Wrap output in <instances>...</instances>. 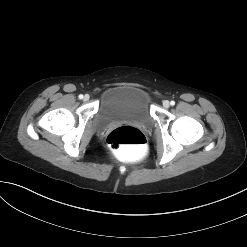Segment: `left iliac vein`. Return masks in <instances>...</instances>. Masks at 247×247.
<instances>
[{"label":"left iliac vein","instance_id":"obj_1","mask_svg":"<svg viewBox=\"0 0 247 247\" xmlns=\"http://www.w3.org/2000/svg\"><path fill=\"white\" fill-rule=\"evenodd\" d=\"M163 106H164L165 108H169V106H170L169 101H168V100L163 101Z\"/></svg>","mask_w":247,"mask_h":247}]
</instances>
